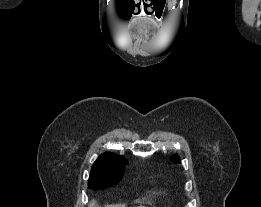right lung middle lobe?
I'll return each instance as SVG.
<instances>
[{
	"label": "right lung middle lobe",
	"mask_w": 261,
	"mask_h": 207,
	"mask_svg": "<svg viewBox=\"0 0 261 207\" xmlns=\"http://www.w3.org/2000/svg\"><path fill=\"white\" fill-rule=\"evenodd\" d=\"M126 164L127 160H124L111 167L92 168L88 180L89 188L99 190L117 184L124 174Z\"/></svg>",
	"instance_id": "1"
}]
</instances>
